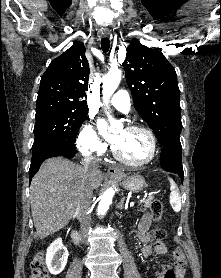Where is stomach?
I'll use <instances>...</instances> for the list:
<instances>
[{"label":"stomach","instance_id":"stomach-1","mask_svg":"<svg viewBox=\"0 0 221 278\" xmlns=\"http://www.w3.org/2000/svg\"><path fill=\"white\" fill-rule=\"evenodd\" d=\"M115 179L119 181L126 190L134 193L141 192L146 185L145 179L137 174L132 176L120 175Z\"/></svg>","mask_w":221,"mask_h":278}]
</instances>
